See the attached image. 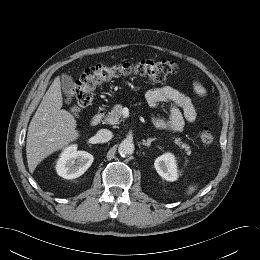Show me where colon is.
<instances>
[{
  "instance_id": "obj_1",
  "label": "colon",
  "mask_w": 260,
  "mask_h": 260,
  "mask_svg": "<svg viewBox=\"0 0 260 260\" xmlns=\"http://www.w3.org/2000/svg\"><path fill=\"white\" fill-rule=\"evenodd\" d=\"M178 72V67L170 61L145 60L136 63L115 65L98 64L84 71L70 92V111L78 115L82 108L88 106L94 97L96 89L104 82L128 77L146 79L154 83H164ZM203 144L214 142L215 134L212 128L205 127L199 134Z\"/></svg>"
}]
</instances>
